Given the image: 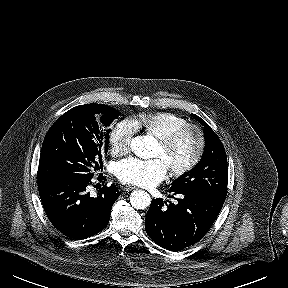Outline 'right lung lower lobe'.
I'll list each match as a JSON object with an SVG mask.
<instances>
[{
	"instance_id": "98d812e1",
	"label": "right lung lower lobe",
	"mask_w": 288,
	"mask_h": 288,
	"mask_svg": "<svg viewBox=\"0 0 288 288\" xmlns=\"http://www.w3.org/2000/svg\"><path fill=\"white\" fill-rule=\"evenodd\" d=\"M89 182L65 178L38 181L40 198L50 222L72 239H85L102 231L121 193L112 184L92 197L86 190Z\"/></svg>"
}]
</instances>
